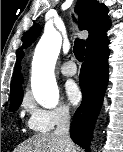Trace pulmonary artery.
Segmentation results:
<instances>
[{"mask_svg":"<svg viewBox=\"0 0 123 152\" xmlns=\"http://www.w3.org/2000/svg\"><path fill=\"white\" fill-rule=\"evenodd\" d=\"M60 71L65 76H73L76 74L77 68L73 61H68L61 66Z\"/></svg>","mask_w":123,"mask_h":152,"instance_id":"pulmonary-artery-1","label":"pulmonary artery"}]
</instances>
